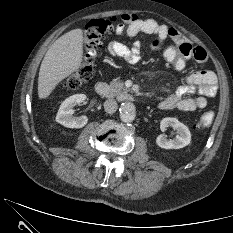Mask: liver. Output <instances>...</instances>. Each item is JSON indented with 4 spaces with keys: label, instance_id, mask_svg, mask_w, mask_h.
Listing matches in <instances>:
<instances>
[{
    "label": "liver",
    "instance_id": "6515ba94",
    "mask_svg": "<svg viewBox=\"0 0 233 233\" xmlns=\"http://www.w3.org/2000/svg\"><path fill=\"white\" fill-rule=\"evenodd\" d=\"M83 58V32L74 29L58 38L48 49L41 63L38 96L47 98L66 77L76 72Z\"/></svg>",
    "mask_w": 233,
    "mask_h": 233
}]
</instances>
